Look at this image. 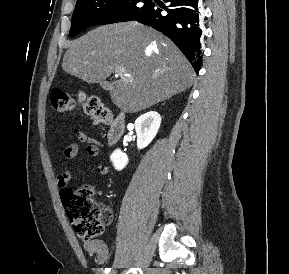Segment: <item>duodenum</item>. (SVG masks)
<instances>
[{
  "instance_id": "duodenum-1",
  "label": "duodenum",
  "mask_w": 289,
  "mask_h": 274,
  "mask_svg": "<svg viewBox=\"0 0 289 274\" xmlns=\"http://www.w3.org/2000/svg\"><path fill=\"white\" fill-rule=\"evenodd\" d=\"M126 118L123 112H118L110 123L107 142L110 146L116 144L124 134Z\"/></svg>"
}]
</instances>
